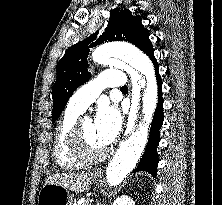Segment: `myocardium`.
Returning <instances> with one entry per match:
<instances>
[{"label":"myocardium","instance_id":"1","mask_svg":"<svg viewBox=\"0 0 222 205\" xmlns=\"http://www.w3.org/2000/svg\"><path fill=\"white\" fill-rule=\"evenodd\" d=\"M83 120L74 123L69 135V146L73 156L86 164H93L102 161L108 154V149H103L97 153H90L85 145L82 135L81 125Z\"/></svg>","mask_w":222,"mask_h":205}]
</instances>
